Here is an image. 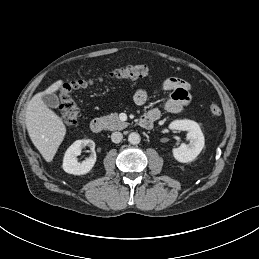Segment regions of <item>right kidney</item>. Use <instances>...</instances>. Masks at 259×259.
Listing matches in <instances>:
<instances>
[{"label": "right kidney", "instance_id": "right-kidney-1", "mask_svg": "<svg viewBox=\"0 0 259 259\" xmlns=\"http://www.w3.org/2000/svg\"><path fill=\"white\" fill-rule=\"evenodd\" d=\"M90 147L92 154L86 160L79 162L77 156L84 147ZM95 143L91 139L75 141L65 152L63 170L73 175H83L90 172L96 162Z\"/></svg>", "mask_w": 259, "mask_h": 259}]
</instances>
